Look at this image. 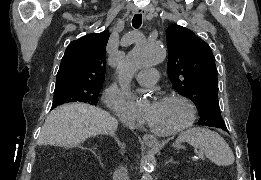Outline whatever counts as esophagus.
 Returning a JSON list of instances; mask_svg holds the SVG:
<instances>
[{"instance_id": "esophagus-1", "label": "esophagus", "mask_w": 261, "mask_h": 180, "mask_svg": "<svg viewBox=\"0 0 261 180\" xmlns=\"http://www.w3.org/2000/svg\"><path fill=\"white\" fill-rule=\"evenodd\" d=\"M135 13H137V14L141 13L142 15H145L146 12L142 8H136L135 9ZM143 141L149 147H156L160 143L159 140L154 135H150V134H145L143 136Z\"/></svg>"}]
</instances>
